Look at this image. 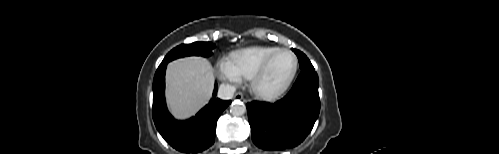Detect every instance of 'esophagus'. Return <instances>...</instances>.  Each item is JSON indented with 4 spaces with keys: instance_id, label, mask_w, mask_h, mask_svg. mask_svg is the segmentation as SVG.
Returning a JSON list of instances; mask_svg holds the SVG:
<instances>
[{
    "instance_id": "obj_1",
    "label": "esophagus",
    "mask_w": 499,
    "mask_h": 154,
    "mask_svg": "<svg viewBox=\"0 0 499 154\" xmlns=\"http://www.w3.org/2000/svg\"><path fill=\"white\" fill-rule=\"evenodd\" d=\"M236 100H242L243 99V94L241 92H237L234 96Z\"/></svg>"
}]
</instances>
